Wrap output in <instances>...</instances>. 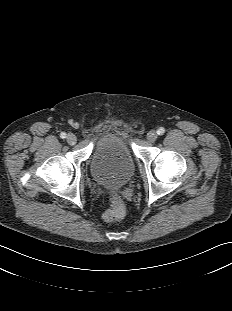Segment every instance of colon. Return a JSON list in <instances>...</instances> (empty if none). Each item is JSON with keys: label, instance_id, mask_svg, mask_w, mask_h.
Wrapping results in <instances>:
<instances>
[{"label": "colon", "instance_id": "1", "mask_svg": "<svg viewBox=\"0 0 232 311\" xmlns=\"http://www.w3.org/2000/svg\"><path fill=\"white\" fill-rule=\"evenodd\" d=\"M126 213V207L120 196L113 193L110 197V206L103 214V218L107 222H115L124 217Z\"/></svg>", "mask_w": 232, "mask_h": 311}]
</instances>
